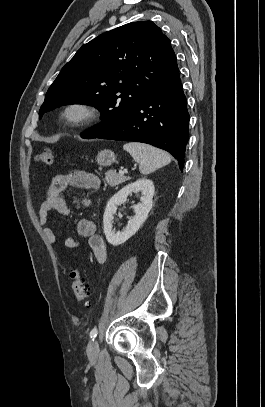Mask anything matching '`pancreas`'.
Masks as SVG:
<instances>
[{
	"label": "pancreas",
	"mask_w": 265,
	"mask_h": 407,
	"mask_svg": "<svg viewBox=\"0 0 265 407\" xmlns=\"http://www.w3.org/2000/svg\"><path fill=\"white\" fill-rule=\"evenodd\" d=\"M129 179V177L117 174L114 170H109L105 174L106 182L112 187L118 186L119 184L126 182Z\"/></svg>",
	"instance_id": "obj_1"
}]
</instances>
